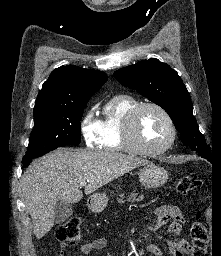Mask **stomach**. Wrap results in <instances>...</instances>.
Instances as JSON below:
<instances>
[{
  "label": "stomach",
  "mask_w": 221,
  "mask_h": 256,
  "mask_svg": "<svg viewBox=\"0 0 221 256\" xmlns=\"http://www.w3.org/2000/svg\"><path fill=\"white\" fill-rule=\"evenodd\" d=\"M168 180V172L158 165L148 163L139 171V181L146 188H158L164 185ZM108 203L106 194L96 193L90 196L88 207L92 212L99 213L103 211Z\"/></svg>",
  "instance_id": "stomach-1"
}]
</instances>
